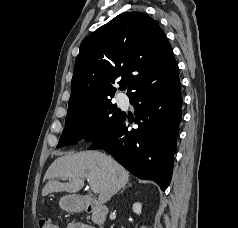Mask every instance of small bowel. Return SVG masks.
Listing matches in <instances>:
<instances>
[{
    "mask_svg": "<svg viewBox=\"0 0 238 228\" xmlns=\"http://www.w3.org/2000/svg\"><path fill=\"white\" fill-rule=\"evenodd\" d=\"M66 228H93L82 222H70Z\"/></svg>",
    "mask_w": 238,
    "mask_h": 228,
    "instance_id": "obj_1",
    "label": "small bowel"
}]
</instances>
